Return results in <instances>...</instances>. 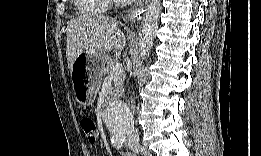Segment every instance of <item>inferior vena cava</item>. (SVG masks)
Returning a JSON list of instances; mask_svg holds the SVG:
<instances>
[{"instance_id": "obj_1", "label": "inferior vena cava", "mask_w": 261, "mask_h": 156, "mask_svg": "<svg viewBox=\"0 0 261 156\" xmlns=\"http://www.w3.org/2000/svg\"><path fill=\"white\" fill-rule=\"evenodd\" d=\"M131 103H132V108L134 109L135 106L133 105L134 104V100L131 99ZM128 144H139V132L138 130L136 129L132 134L129 135L128 137Z\"/></svg>"}]
</instances>
